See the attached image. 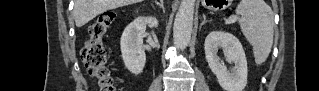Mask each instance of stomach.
I'll list each match as a JSON object with an SVG mask.
<instances>
[{"mask_svg": "<svg viewBox=\"0 0 319 91\" xmlns=\"http://www.w3.org/2000/svg\"><path fill=\"white\" fill-rule=\"evenodd\" d=\"M229 2L230 1L228 0H212L204 1V4H207L209 8H215L216 10H224L230 4Z\"/></svg>", "mask_w": 319, "mask_h": 91, "instance_id": "0dacf381", "label": "stomach"}]
</instances>
